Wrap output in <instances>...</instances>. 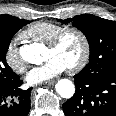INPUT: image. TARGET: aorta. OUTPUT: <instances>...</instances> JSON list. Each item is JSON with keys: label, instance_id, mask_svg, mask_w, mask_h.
<instances>
[{"label": "aorta", "instance_id": "1", "mask_svg": "<svg viewBox=\"0 0 116 116\" xmlns=\"http://www.w3.org/2000/svg\"><path fill=\"white\" fill-rule=\"evenodd\" d=\"M42 50L37 44L25 45L20 49L21 58L32 64H41L43 61ZM56 91L62 98L69 99L75 93L74 84L68 79H61L56 84Z\"/></svg>", "mask_w": 116, "mask_h": 116}]
</instances>
